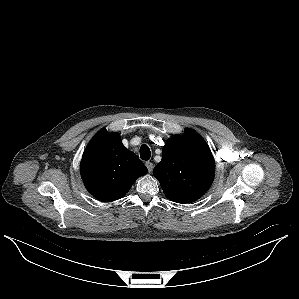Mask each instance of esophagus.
Here are the masks:
<instances>
[{
	"label": "esophagus",
	"instance_id": "34e87169",
	"mask_svg": "<svg viewBox=\"0 0 299 299\" xmlns=\"http://www.w3.org/2000/svg\"><path fill=\"white\" fill-rule=\"evenodd\" d=\"M145 165H146V167H147V169H148V172L151 173L152 170H153V163L147 161V162L145 163Z\"/></svg>",
	"mask_w": 299,
	"mask_h": 299
}]
</instances>
